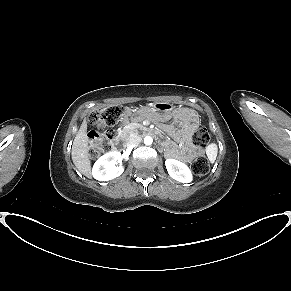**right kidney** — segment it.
<instances>
[{
	"label": "right kidney",
	"instance_id": "obj_1",
	"mask_svg": "<svg viewBox=\"0 0 291 291\" xmlns=\"http://www.w3.org/2000/svg\"><path fill=\"white\" fill-rule=\"evenodd\" d=\"M122 155L118 151H112L101 156L93 165L92 175L96 180L109 181L120 176L124 168L116 166L121 163Z\"/></svg>",
	"mask_w": 291,
	"mask_h": 291
}]
</instances>
